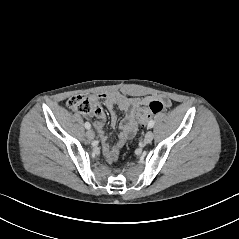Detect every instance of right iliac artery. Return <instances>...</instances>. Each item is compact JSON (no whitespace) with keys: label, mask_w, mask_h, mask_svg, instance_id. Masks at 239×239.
I'll return each instance as SVG.
<instances>
[{"label":"right iliac artery","mask_w":239,"mask_h":239,"mask_svg":"<svg viewBox=\"0 0 239 239\" xmlns=\"http://www.w3.org/2000/svg\"><path fill=\"white\" fill-rule=\"evenodd\" d=\"M84 125H85V128H86V129H90V128H91V125H90V123H89V122H85V124H84Z\"/></svg>","instance_id":"obj_1"}]
</instances>
